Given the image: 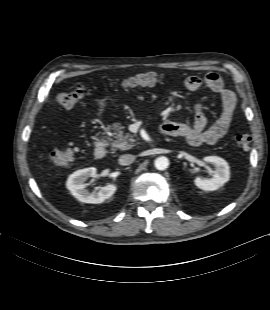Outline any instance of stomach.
Wrapping results in <instances>:
<instances>
[{
    "label": "stomach",
    "mask_w": 270,
    "mask_h": 310,
    "mask_svg": "<svg viewBox=\"0 0 270 310\" xmlns=\"http://www.w3.org/2000/svg\"><path fill=\"white\" fill-rule=\"evenodd\" d=\"M106 100H104V99H101V100H99L98 102H97V105H98V115L100 116L102 113H103V111H104V109H105V107H106Z\"/></svg>",
    "instance_id": "1"
}]
</instances>
